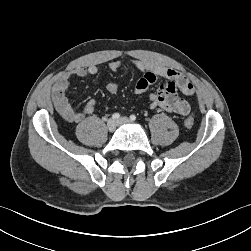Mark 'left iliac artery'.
Returning <instances> with one entry per match:
<instances>
[{
    "label": "left iliac artery",
    "mask_w": 251,
    "mask_h": 251,
    "mask_svg": "<svg viewBox=\"0 0 251 251\" xmlns=\"http://www.w3.org/2000/svg\"><path fill=\"white\" fill-rule=\"evenodd\" d=\"M130 120H131V121H135V120H136V116H135V115H131V116H130Z\"/></svg>",
    "instance_id": "44dca946"
}]
</instances>
